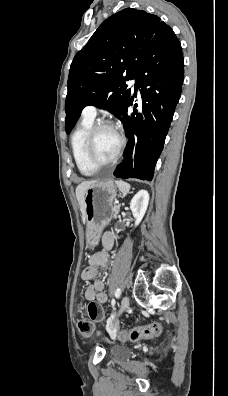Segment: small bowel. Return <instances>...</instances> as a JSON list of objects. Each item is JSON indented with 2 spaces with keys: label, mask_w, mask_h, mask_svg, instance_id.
I'll list each match as a JSON object with an SVG mask.
<instances>
[{
  "label": "small bowel",
  "mask_w": 228,
  "mask_h": 396,
  "mask_svg": "<svg viewBox=\"0 0 228 396\" xmlns=\"http://www.w3.org/2000/svg\"><path fill=\"white\" fill-rule=\"evenodd\" d=\"M102 251L97 252L90 256L88 265L83 270L81 277L85 281H89L90 284L85 290V298L87 300H94L99 304L107 302L108 296L104 292V282L99 279V267H106L109 263V251L113 247L114 237L110 232L103 234L102 239Z\"/></svg>",
  "instance_id": "1"
}]
</instances>
